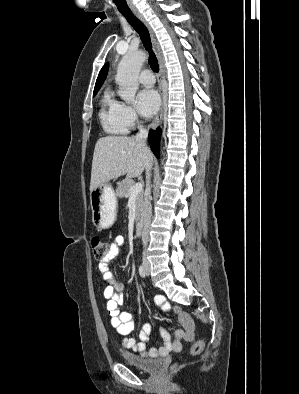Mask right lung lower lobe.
Here are the masks:
<instances>
[{"label": "right lung lower lobe", "mask_w": 299, "mask_h": 394, "mask_svg": "<svg viewBox=\"0 0 299 394\" xmlns=\"http://www.w3.org/2000/svg\"><path fill=\"white\" fill-rule=\"evenodd\" d=\"M160 134L161 130L158 128L156 131L151 130L148 137L151 149L157 157H159Z\"/></svg>", "instance_id": "1"}]
</instances>
